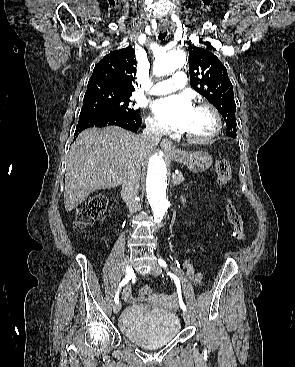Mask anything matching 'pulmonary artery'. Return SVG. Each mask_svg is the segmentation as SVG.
<instances>
[{
	"instance_id": "1",
	"label": "pulmonary artery",
	"mask_w": 295,
	"mask_h": 367,
	"mask_svg": "<svg viewBox=\"0 0 295 367\" xmlns=\"http://www.w3.org/2000/svg\"><path fill=\"white\" fill-rule=\"evenodd\" d=\"M187 84V75L183 71H177L171 79L157 82L151 89L153 95H164L183 88Z\"/></svg>"
}]
</instances>
